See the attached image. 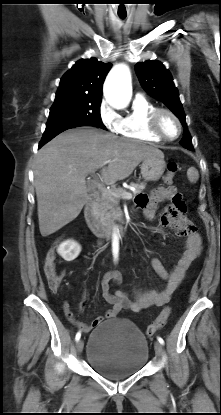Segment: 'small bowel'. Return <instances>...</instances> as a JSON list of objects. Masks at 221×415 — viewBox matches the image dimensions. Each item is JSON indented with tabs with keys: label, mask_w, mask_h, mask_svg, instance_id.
<instances>
[{
	"label": "small bowel",
	"mask_w": 221,
	"mask_h": 415,
	"mask_svg": "<svg viewBox=\"0 0 221 415\" xmlns=\"http://www.w3.org/2000/svg\"><path fill=\"white\" fill-rule=\"evenodd\" d=\"M163 201H169L170 203L165 208L159 225H170L177 235L187 236L182 255L170 272L165 269L158 258L151 260L155 272L166 282L165 288L161 291L135 288L131 294L121 290L112 293L110 283L120 285L122 276L118 271L106 273L101 282V289L104 300L111 305V308L105 312L104 316L95 318L91 324L87 325L74 321L71 319L70 312H67L70 320L84 331L87 332L98 326L104 318L112 319L116 317L122 310L139 312L153 305L162 306L166 304L184 279L189 267L200 255L203 247L202 238L195 232V226L187 220L188 213L185 210V202L174 186L158 187L149 195L139 194L135 199V205L143 209V215L146 219L151 220L156 215L158 204ZM85 306L86 301L81 304L80 310H83Z\"/></svg>",
	"instance_id": "c3829d8e"
}]
</instances>
